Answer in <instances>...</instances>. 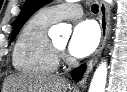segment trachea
Returning a JSON list of instances; mask_svg holds the SVG:
<instances>
[{
    "instance_id": "trachea-1",
    "label": "trachea",
    "mask_w": 127,
    "mask_h": 92,
    "mask_svg": "<svg viewBox=\"0 0 127 92\" xmlns=\"http://www.w3.org/2000/svg\"><path fill=\"white\" fill-rule=\"evenodd\" d=\"M91 10L93 13H98L99 9H98V5L97 4H93L91 7Z\"/></svg>"
}]
</instances>
